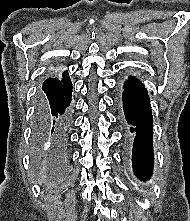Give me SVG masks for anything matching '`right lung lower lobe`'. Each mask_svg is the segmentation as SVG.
I'll use <instances>...</instances> for the list:
<instances>
[{
  "label": "right lung lower lobe",
  "instance_id": "98d812e1",
  "mask_svg": "<svg viewBox=\"0 0 190 221\" xmlns=\"http://www.w3.org/2000/svg\"><path fill=\"white\" fill-rule=\"evenodd\" d=\"M61 80L47 79L37 96L33 142L44 152L50 169L63 167L68 160V130L72 82L68 73Z\"/></svg>",
  "mask_w": 190,
  "mask_h": 221
}]
</instances>
